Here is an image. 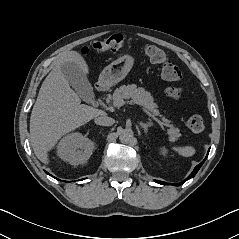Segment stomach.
I'll return each instance as SVG.
<instances>
[{"instance_id": "1", "label": "stomach", "mask_w": 239, "mask_h": 239, "mask_svg": "<svg viewBox=\"0 0 239 239\" xmlns=\"http://www.w3.org/2000/svg\"><path fill=\"white\" fill-rule=\"evenodd\" d=\"M134 64V57L122 56L106 66L99 76V84L108 88L123 80Z\"/></svg>"}]
</instances>
